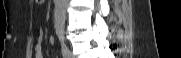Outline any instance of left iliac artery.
<instances>
[{
  "instance_id": "44dca946",
  "label": "left iliac artery",
  "mask_w": 181,
  "mask_h": 58,
  "mask_svg": "<svg viewBox=\"0 0 181 58\" xmlns=\"http://www.w3.org/2000/svg\"><path fill=\"white\" fill-rule=\"evenodd\" d=\"M59 39H60V42H61V50H62V55L64 58H69V55H70V51L65 43V37H64V34L60 33L59 34Z\"/></svg>"
}]
</instances>
